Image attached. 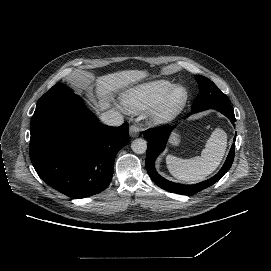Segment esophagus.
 I'll use <instances>...</instances> for the list:
<instances>
[{"label":"esophagus","instance_id":"34e87169","mask_svg":"<svg viewBox=\"0 0 271 271\" xmlns=\"http://www.w3.org/2000/svg\"><path fill=\"white\" fill-rule=\"evenodd\" d=\"M140 133V129L137 125L133 124L129 128V135L132 138L138 137Z\"/></svg>","mask_w":271,"mask_h":271}]
</instances>
